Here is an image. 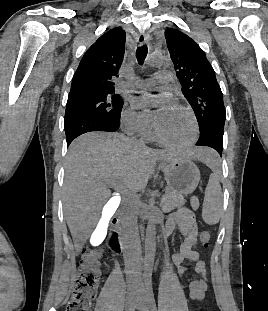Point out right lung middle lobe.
Returning a JSON list of instances; mask_svg holds the SVG:
<instances>
[{"instance_id": "obj_1", "label": "right lung middle lobe", "mask_w": 268, "mask_h": 311, "mask_svg": "<svg viewBox=\"0 0 268 311\" xmlns=\"http://www.w3.org/2000/svg\"><path fill=\"white\" fill-rule=\"evenodd\" d=\"M123 100L114 91L77 89L70 90L64 124L78 116H89L109 122L120 119Z\"/></svg>"}]
</instances>
